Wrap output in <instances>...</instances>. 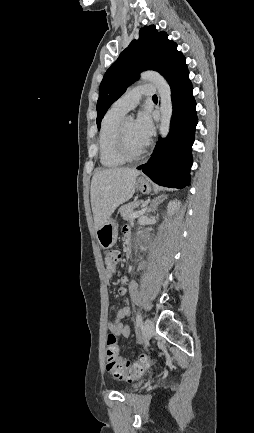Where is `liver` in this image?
<instances>
[{
	"instance_id": "liver-1",
	"label": "liver",
	"mask_w": 254,
	"mask_h": 433,
	"mask_svg": "<svg viewBox=\"0 0 254 433\" xmlns=\"http://www.w3.org/2000/svg\"><path fill=\"white\" fill-rule=\"evenodd\" d=\"M140 171L129 168L97 169L90 187L95 229L98 230L116 208L128 201L135 192Z\"/></svg>"
}]
</instances>
